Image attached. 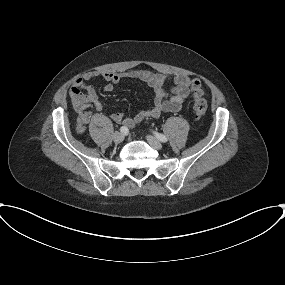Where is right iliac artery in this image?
<instances>
[{
    "label": "right iliac artery",
    "mask_w": 285,
    "mask_h": 285,
    "mask_svg": "<svg viewBox=\"0 0 285 285\" xmlns=\"http://www.w3.org/2000/svg\"><path fill=\"white\" fill-rule=\"evenodd\" d=\"M120 131H121L122 133L126 134V133L128 132V128H126L125 126H122V127L120 128Z\"/></svg>",
    "instance_id": "82829eb1"
}]
</instances>
